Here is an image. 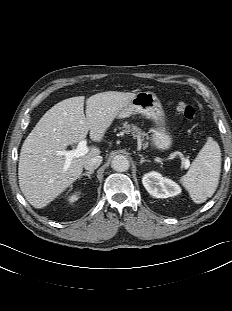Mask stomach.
Masks as SVG:
<instances>
[{
    "label": "stomach",
    "instance_id": "1",
    "mask_svg": "<svg viewBox=\"0 0 232 311\" xmlns=\"http://www.w3.org/2000/svg\"><path fill=\"white\" fill-rule=\"evenodd\" d=\"M141 114L152 120L155 128L150 130L151 140L159 150H167L173 144V139L166 129V119L163 107L157 96L148 91L138 92L135 97L119 112V118Z\"/></svg>",
    "mask_w": 232,
    "mask_h": 311
}]
</instances>
